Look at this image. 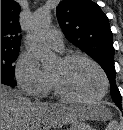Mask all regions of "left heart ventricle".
I'll return each mask as SVG.
<instances>
[{"instance_id":"1","label":"left heart ventricle","mask_w":123,"mask_h":130,"mask_svg":"<svg viewBox=\"0 0 123 130\" xmlns=\"http://www.w3.org/2000/svg\"><path fill=\"white\" fill-rule=\"evenodd\" d=\"M49 74L55 77L69 94L77 98L96 97L103 89L99 71L83 60L65 64L59 59L51 67Z\"/></svg>"}]
</instances>
